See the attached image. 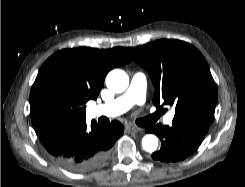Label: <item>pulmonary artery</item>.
Here are the masks:
<instances>
[{
  "label": "pulmonary artery",
  "mask_w": 245,
  "mask_h": 187,
  "mask_svg": "<svg viewBox=\"0 0 245 187\" xmlns=\"http://www.w3.org/2000/svg\"><path fill=\"white\" fill-rule=\"evenodd\" d=\"M147 81L143 73H136L129 84L128 89L110 103L94 106L90 109L93 117H113L128 111L135 104H142L146 100ZM174 113H170L164 119L165 124H171Z\"/></svg>",
  "instance_id": "1"
}]
</instances>
